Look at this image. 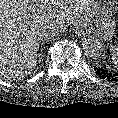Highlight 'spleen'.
<instances>
[{
  "mask_svg": "<svg viewBox=\"0 0 118 118\" xmlns=\"http://www.w3.org/2000/svg\"><path fill=\"white\" fill-rule=\"evenodd\" d=\"M111 59L118 68V45H112L110 47Z\"/></svg>",
  "mask_w": 118,
  "mask_h": 118,
  "instance_id": "3e777b00",
  "label": "spleen"
}]
</instances>
